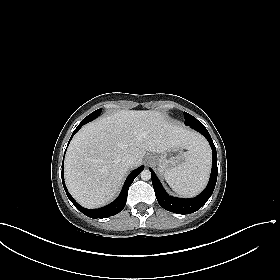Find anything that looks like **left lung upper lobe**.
<instances>
[{
  "label": "left lung upper lobe",
  "mask_w": 280,
  "mask_h": 280,
  "mask_svg": "<svg viewBox=\"0 0 280 280\" xmlns=\"http://www.w3.org/2000/svg\"><path fill=\"white\" fill-rule=\"evenodd\" d=\"M184 118H185V125L193 127L201 125L202 123L198 121L196 118H194L192 115L184 112Z\"/></svg>",
  "instance_id": "obj_1"
}]
</instances>
